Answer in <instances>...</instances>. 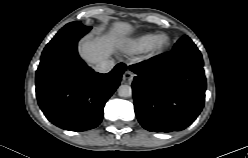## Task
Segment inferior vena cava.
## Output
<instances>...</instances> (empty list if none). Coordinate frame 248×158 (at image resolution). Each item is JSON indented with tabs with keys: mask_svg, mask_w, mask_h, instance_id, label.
Here are the masks:
<instances>
[{
	"mask_svg": "<svg viewBox=\"0 0 248 158\" xmlns=\"http://www.w3.org/2000/svg\"><path fill=\"white\" fill-rule=\"evenodd\" d=\"M114 66L115 63L113 60H103L96 65L95 69L100 73H108L113 69Z\"/></svg>",
	"mask_w": 248,
	"mask_h": 158,
	"instance_id": "602c4592",
	"label": "inferior vena cava"
}]
</instances>
